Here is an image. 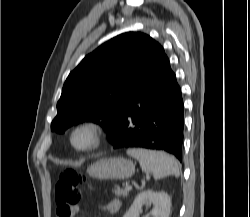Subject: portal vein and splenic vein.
Wrapping results in <instances>:
<instances>
[{"label":"portal vein and splenic vein","instance_id":"18ae733b","mask_svg":"<svg viewBox=\"0 0 250 217\" xmlns=\"http://www.w3.org/2000/svg\"><path fill=\"white\" fill-rule=\"evenodd\" d=\"M131 189H132V187H131L129 184H126V185H125V190L129 191V190H131Z\"/></svg>","mask_w":250,"mask_h":217}]
</instances>
